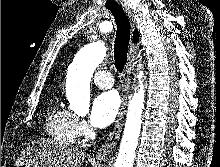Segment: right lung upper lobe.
Here are the masks:
<instances>
[{
	"label": "right lung upper lobe",
	"mask_w": 220,
	"mask_h": 167,
	"mask_svg": "<svg viewBox=\"0 0 220 167\" xmlns=\"http://www.w3.org/2000/svg\"><path fill=\"white\" fill-rule=\"evenodd\" d=\"M138 38H139L138 32L135 30V31H134V35H133V41H134V43H136V42L138 41ZM53 78H54V74H53V76H52V80H53Z\"/></svg>",
	"instance_id": "cb5924a9"
}]
</instances>
